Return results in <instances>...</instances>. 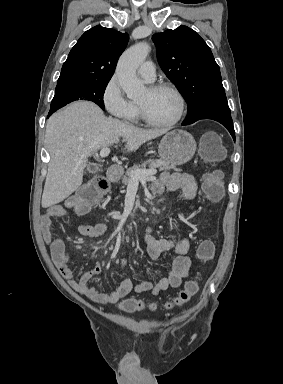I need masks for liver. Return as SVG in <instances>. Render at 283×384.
Wrapping results in <instances>:
<instances>
[{
  "mask_svg": "<svg viewBox=\"0 0 283 384\" xmlns=\"http://www.w3.org/2000/svg\"><path fill=\"white\" fill-rule=\"evenodd\" d=\"M167 130H142L115 118H106L93 102H73L58 110L46 124L45 140L50 154L42 208L63 202L83 182L87 158L93 152L126 142L125 152H136L148 140Z\"/></svg>",
  "mask_w": 283,
  "mask_h": 384,
  "instance_id": "liver-1",
  "label": "liver"
}]
</instances>
